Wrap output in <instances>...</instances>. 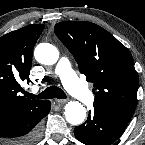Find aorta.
<instances>
[{
	"label": "aorta",
	"instance_id": "1",
	"mask_svg": "<svg viewBox=\"0 0 145 145\" xmlns=\"http://www.w3.org/2000/svg\"><path fill=\"white\" fill-rule=\"evenodd\" d=\"M37 62L44 65H53L59 59L58 49L49 43H40L34 50ZM66 121L72 125H80L86 118V109L77 101H70L65 106Z\"/></svg>",
	"mask_w": 145,
	"mask_h": 145
}]
</instances>
